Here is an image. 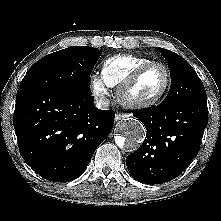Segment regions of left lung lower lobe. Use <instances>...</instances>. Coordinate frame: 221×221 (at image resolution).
I'll return each mask as SVG.
<instances>
[{
  "instance_id": "left-lung-lower-lobe-1",
  "label": "left lung lower lobe",
  "mask_w": 221,
  "mask_h": 221,
  "mask_svg": "<svg viewBox=\"0 0 221 221\" xmlns=\"http://www.w3.org/2000/svg\"><path fill=\"white\" fill-rule=\"evenodd\" d=\"M133 115L146 127V139L127 156L126 165L139 182L160 184L176 178L198 154L208 122L206 97H193Z\"/></svg>"
}]
</instances>
